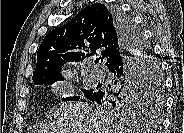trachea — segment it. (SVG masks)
<instances>
[{"instance_id": "trachea-1", "label": "trachea", "mask_w": 184, "mask_h": 133, "mask_svg": "<svg viewBox=\"0 0 184 133\" xmlns=\"http://www.w3.org/2000/svg\"><path fill=\"white\" fill-rule=\"evenodd\" d=\"M99 60H100V58H96L95 62H96V63H98V62H99Z\"/></svg>"}]
</instances>
